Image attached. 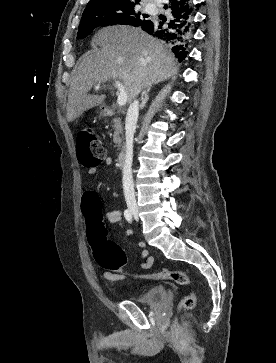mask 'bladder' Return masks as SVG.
I'll return each mask as SVG.
<instances>
[{
    "label": "bladder",
    "mask_w": 276,
    "mask_h": 363,
    "mask_svg": "<svg viewBox=\"0 0 276 363\" xmlns=\"http://www.w3.org/2000/svg\"><path fill=\"white\" fill-rule=\"evenodd\" d=\"M165 299H166V289L162 285L152 286L149 289L139 293L133 298L134 302L147 306L158 305L164 302Z\"/></svg>",
    "instance_id": "1"
}]
</instances>
